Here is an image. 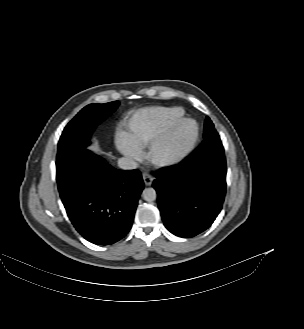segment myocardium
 Wrapping results in <instances>:
<instances>
[{
	"instance_id": "obj_1",
	"label": "myocardium",
	"mask_w": 304,
	"mask_h": 329,
	"mask_svg": "<svg viewBox=\"0 0 304 329\" xmlns=\"http://www.w3.org/2000/svg\"><path fill=\"white\" fill-rule=\"evenodd\" d=\"M186 123L194 125L192 135L184 141L176 150L168 152V148L177 140L182 127ZM200 135V128L193 118H181L160 138L149 147L147 158L151 164L158 168L174 166L183 161L195 148Z\"/></svg>"
}]
</instances>
